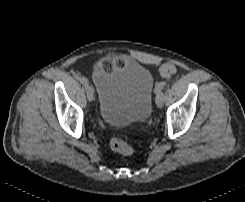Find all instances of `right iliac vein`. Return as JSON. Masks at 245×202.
Masks as SVG:
<instances>
[{"label":"right iliac vein","instance_id":"right-iliac-vein-1","mask_svg":"<svg viewBox=\"0 0 245 202\" xmlns=\"http://www.w3.org/2000/svg\"><path fill=\"white\" fill-rule=\"evenodd\" d=\"M85 90H86V94H87V98L89 101H93L94 99V90L91 86L89 85H86L85 87Z\"/></svg>","mask_w":245,"mask_h":202}]
</instances>
